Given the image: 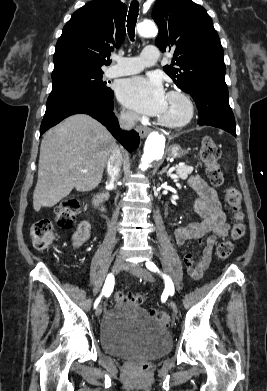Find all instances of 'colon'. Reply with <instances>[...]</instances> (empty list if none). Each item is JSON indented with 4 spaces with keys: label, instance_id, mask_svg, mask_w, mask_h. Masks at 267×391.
<instances>
[{
    "label": "colon",
    "instance_id": "colon-1",
    "mask_svg": "<svg viewBox=\"0 0 267 391\" xmlns=\"http://www.w3.org/2000/svg\"><path fill=\"white\" fill-rule=\"evenodd\" d=\"M200 158L206 168V175L214 186H221L224 181L223 172L218 163L220 158L219 146L208 136L204 137L200 147ZM224 196L227 205L234 215L235 224L230 233V239L224 240L217 248V256L221 260L227 259L234 250V241L244 237L246 226L243 223L244 213L241 210V195L239 191L232 186L224 189ZM80 212V202L75 198H69L59 203L55 208V222L63 229H70L74 226L77 215ZM30 236L34 247L38 250L47 249L55 238L53 224L48 219H41L32 224ZM114 302L127 301L129 303L140 305L144 301V296L139 293H129L124 295L116 292L113 295ZM150 314L164 326L171 322L168 313L151 309Z\"/></svg>",
    "mask_w": 267,
    "mask_h": 391
}]
</instances>
